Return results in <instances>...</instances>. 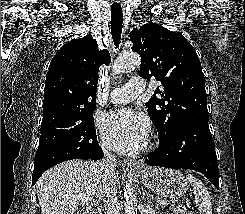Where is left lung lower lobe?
<instances>
[{"label": "left lung lower lobe", "mask_w": 245, "mask_h": 214, "mask_svg": "<svg viewBox=\"0 0 245 214\" xmlns=\"http://www.w3.org/2000/svg\"><path fill=\"white\" fill-rule=\"evenodd\" d=\"M141 159L150 165L190 169L203 173L218 189V163L208 122L185 125L159 147Z\"/></svg>", "instance_id": "obj_1"}]
</instances>
